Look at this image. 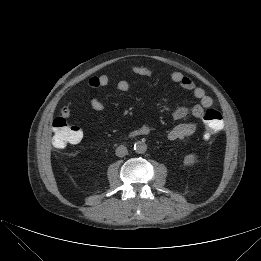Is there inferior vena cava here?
Masks as SVG:
<instances>
[{"instance_id":"obj_1","label":"inferior vena cava","mask_w":261,"mask_h":261,"mask_svg":"<svg viewBox=\"0 0 261 261\" xmlns=\"http://www.w3.org/2000/svg\"><path fill=\"white\" fill-rule=\"evenodd\" d=\"M115 153L118 157H124L128 153L127 147L120 145L116 148Z\"/></svg>"}]
</instances>
